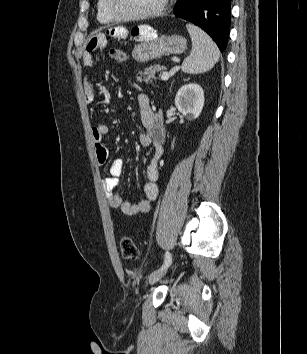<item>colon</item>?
Returning a JSON list of instances; mask_svg holds the SVG:
<instances>
[{
	"label": "colon",
	"instance_id": "obj_1",
	"mask_svg": "<svg viewBox=\"0 0 307 354\" xmlns=\"http://www.w3.org/2000/svg\"><path fill=\"white\" fill-rule=\"evenodd\" d=\"M111 55L113 59L119 63L124 62L127 59V55L122 50H112ZM120 249L122 256L125 259L135 260L138 258L139 252L132 239L124 237L120 241Z\"/></svg>",
	"mask_w": 307,
	"mask_h": 354
}]
</instances>
